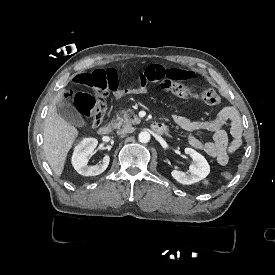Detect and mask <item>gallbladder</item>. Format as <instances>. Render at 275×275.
I'll list each match as a JSON object with an SVG mask.
<instances>
[{"label": "gallbladder", "instance_id": "1", "mask_svg": "<svg viewBox=\"0 0 275 275\" xmlns=\"http://www.w3.org/2000/svg\"><path fill=\"white\" fill-rule=\"evenodd\" d=\"M59 113L65 121L75 127L83 128L88 126V122L74 105L67 104L59 106Z\"/></svg>", "mask_w": 275, "mask_h": 275}]
</instances>
